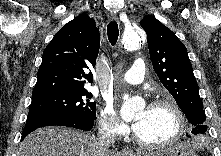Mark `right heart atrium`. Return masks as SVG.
<instances>
[{"instance_id":"1","label":"right heart atrium","mask_w":221,"mask_h":156,"mask_svg":"<svg viewBox=\"0 0 221 156\" xmlns=\"http://www.w3.org/2000/svg\"><path fill=\"white\" fill-rule=\"evenodd\" d=\"M98 125L101 133L107 136H120L128 131L126 125L118 119L110 105H105L101 109Z\"/></svg>"}]
</instances>
